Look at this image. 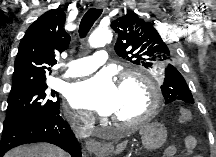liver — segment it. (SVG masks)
I'll return each mask as SVG.
<instances>
[{"mask_svg":"<svg viewBox=\"0 0 216 157\" xmlns=\"http://www.w3.org/2000/svg\"><path fill=\"white\" fill-rule=\"evenodd\" d=\"M5 157H68V154L54 145L38 143L14 148Z\"/></svg>","mask_w":216,"mask_h":157,"instance_id":"liver-1","label":"liver"}]
</instances>
